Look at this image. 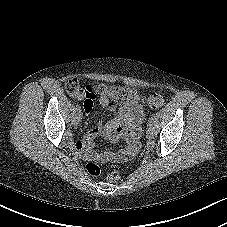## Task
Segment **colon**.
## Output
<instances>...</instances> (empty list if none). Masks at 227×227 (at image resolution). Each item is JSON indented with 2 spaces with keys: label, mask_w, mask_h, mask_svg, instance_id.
Here are the masks:
<instances>
[{
  "label": "colon",
  "mask_w": 227,
  "mask_h": 227,
  "mask_svg": "<svg viewBox=\"0 0 227 227\" xmlns=\"http://www.w3.org/2000/svg\"><path fill=\"white\" fill-rule=\"evenodd\" d=\"M65 89L71 95H75L79 91L83 90L80 87L78 80L75 78H72L66 81ZM85 90L89 99H95L97 95L99 96L105 95L109 97V99L114 103H119V104H126L130 102L134 94V90H131L129 88L107 86L104 84L87 86ZM146 103L149 108L158 109L164 105L165 99L161 94L154 93L147 98ZM86 170L89 174L93 176L99 175L101 171L100 167L95 163H88L86 165ZM119 179H120V173L118 171H111L107 175V181L111 183H116L119 181Z\"/></svg>",
  "instance_id": "obj_1"
}]
</instances>
